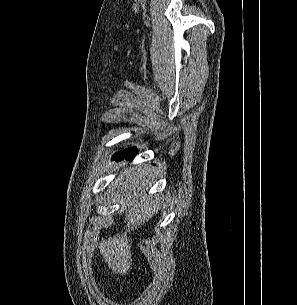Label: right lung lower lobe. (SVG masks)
<instances>
[{"mask_svg":"<svg viewBox=\"0 0 297 305\" xmlns=\"http://www.w3.org/2000/svg\"><path fill=\"white\" fill-rule=\"evenodd\" d=\"M136 153L137 150L135 148H129L127 150L116 153L113 158L117 161L122 159L132 160Z\"/></svg>","mask_w":297,"mask_h":305,"instance_id":"obj_1","label":"right lung lower lobe"}]
</instances>
